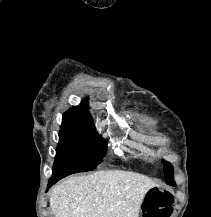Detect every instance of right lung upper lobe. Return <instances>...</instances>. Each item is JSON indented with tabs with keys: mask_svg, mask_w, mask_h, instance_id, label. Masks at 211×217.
I'll list each match as a JSON object with an SVG mask.
<instances>
[{
	"mask_svg": "<svg viewBox=\"0 0 211 217\" xmlns=\"http://www.w3.org/2000/svg\"><path fill=\"white\" fill-rule=\"evenodd\" d=\"M87 100L82 101L81 106L69 109L63 115L62 126L68 127H94L93 120L86 110Z\"/></svg>",
	"mask_w": 211,
	"mask_h": 217,
	"instance_id": "1",
	"label": "right lung upper lobe"
}]
</instances>
